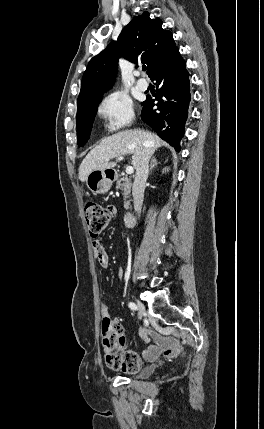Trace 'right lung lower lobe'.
Segmentation results:
<instances>
[{"mask_svg":"<svg viewBox=\"0 0 264 429\" xmlns=\"http://www.w3.org/2000/svg\"><path fill=\"white\" fill-rule=\"evenodd\" d=\"M189 73L178 49L151 75L156 81L157 103L147 98L143 102L142 120L177 151L184 135L190 101ZM156 105L157 109H153Z\"/></svg>","mask_w":264,"mask_h":429,"instance_id":"obj_1","label":"right lung lower lobe"}]
</instances>
